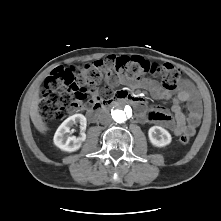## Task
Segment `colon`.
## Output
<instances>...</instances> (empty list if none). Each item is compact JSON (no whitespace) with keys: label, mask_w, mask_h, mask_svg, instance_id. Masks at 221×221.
Instances as JSON below:
<instances>
[{"label":"colon","mask_w":221,"mask_h":221,"mask_svg":"<svg viewBox=\"0 0 221 221\" xmlns=\"http://www.w3.org/2000/svg\"><path fill=\"white\" fill-rule=\"evenodd\" d=\"M123 72L129 79L140 81L146 75H157L163 87L172 90L183 77V72L172 64L150 63L139 57H107L78 68L57 67L46 78L41 92L39 113L44 123L60 121L70 109H77L93 96L106 71ZM112 94L111 90L106 91ZM190 140L189 134H182L183 144Z\"/></svg>","instance_id":"obj_1"}]
</instances>
